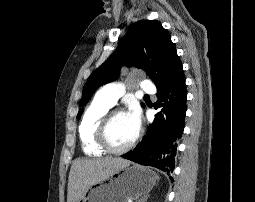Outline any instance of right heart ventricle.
<instances>
[{
    "mask_svg": "<svg viewBox=\"0 0 255 202\" xmlns=\"http://www.w3.org/2000/svg\"><path fill=\"white\" fill-rule=\"evenodd\" d=\"M110 107L96 96L82 116L79 125V138L82 149L87 155L101 156L105 152L96 142V130L101 118Z\"/></svg>",
    "mask_w": 255,
    "mask_h": 202,
    "instance_id": "e07e8e85",
    "label": "right heart ventricle"
}]
</instances>
